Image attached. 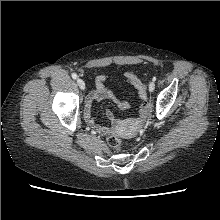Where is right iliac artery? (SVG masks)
I'll return each mask as SVG.
<instances>
[{
	"label": "right iliac artery",
	"instance_id": "82829eb1",
	"mask_svg": "<svg viewBox=\"0 0 220 220\" xmlns=\"http://www.w3.org/2000/svg\"><path fill=\"white\" fill-rule=\"evenodd\" d=\"M72 78L73 79H77V74L76 73H72Z\"/></svg>",
	"mask_w": 220,
	"mask_h": 220
}]
</instances>
